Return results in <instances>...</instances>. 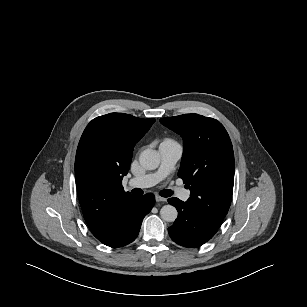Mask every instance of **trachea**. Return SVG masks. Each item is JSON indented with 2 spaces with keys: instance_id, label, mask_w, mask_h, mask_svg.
<instances>
[{
  "instance_id": "trachea-1",
  "label": "trachea",
  "mask_w": 307,
  "mask_h": 307,
  "mask_svg": "<svg viewBox=\"0 0 307 307\" xmlns=\"http://www.w3.org/2000/svg\"><path fill=\"white\" fill-rule=\"evenodd\" d=\"M132 193H134V194H142L143 193V191L141 190V189H138V188H135V189H133L132 190ZM162 197H170L172 194H173V191L172 190H162V191H160V193H159Z\"/></svg>"
}]
</instances>
